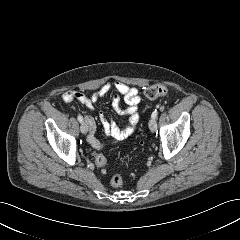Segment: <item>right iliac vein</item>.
Segmentation results:
<instances>
[{"label":"right iliac vein","mask_w":240,"mask_h":240,"mask_svg":"<svg viewBox=\"0 0 240 240\" xmlns=\"http://www.w3.org/2000/svg\"><path fill=\"white\" fill-rule=\"evenodd\" d=\"M80 131H81L83 134H86V133H87L88 127H87V125H86L85 122H82V123H81Z\"/></svg>","instance_id":"right-iliac-vein-1"}]
</instances>
